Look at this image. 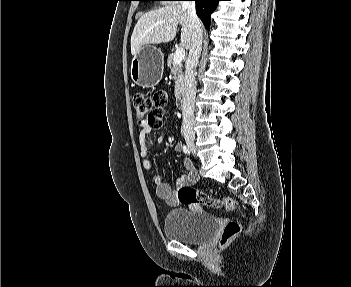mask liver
Wrapping results in <instances>:
<instances>
[{"label": "liver", "instance_id": "obj_1", "mask_svg": "<svg viewBox=\"0 0 351 287\" xmlns=\"http://www.w3.org/2000/svg\"><path fill=\"white\" fill-rule=\"evenodd\" d=\"M181 25V46L190 49L193 29L187 10L174 3L143 14L131 36V54L136 55L142 46L172 41Z\"/></svg>", "mask_w": 351, "mask_h": 287}]
</instances>
